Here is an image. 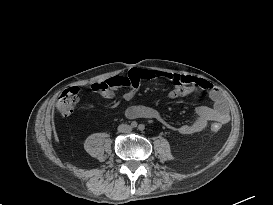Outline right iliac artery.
Returning a JSON list of instances; mask_svg holds the SVG:
<instances>
[{"mask_svg": "<svg viewBox=\"0 0 273 205\" xmlns=\"http://www.w3.org/2000/svg\"><path fill=\"white\" fill-rule=\"evenodd\" d=\"M131 126H132L133 128H135V127H137V123L134 121V122L131 123Z\"/></svg>", "mask_w": 273, "mask_h": 205, "instance_id": "obj_1", "label": "right iliac artery"}]
</instances>
